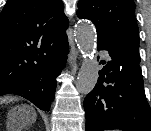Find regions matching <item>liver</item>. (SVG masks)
I'll list each match as a JSON object with an SVG mask.
<instances>
[{"instance_id": "liver-1", "label": "liver", "mask_w": 151, "mask_h": 131, "mask_svg": "<svg viewBox=\"0 0 151 131\" xmlns=\"http://www.w3.org/2000/svg\"><path fill=\"white\" fill-rule=\"evenodd\" d=\"M35 119H36V114H35V112H33L32 121H35Z\"/></svg>"}]
</instances>
